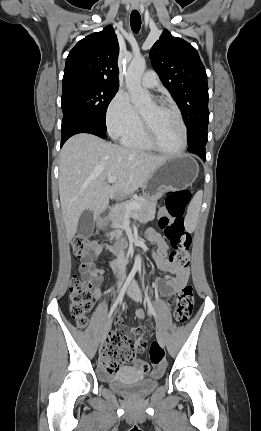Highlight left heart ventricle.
<instances>
[{
  "label": "left heart ventricle",
  "mask_w": 261,
  "mask_h": 431,
  "mask_svg": "<svg viewBox=\"0 0 261 431\" xmlns=\"http://www.w3.org/2000/svg\"><path fill=\"white\" fill-rule=\"evenodd\" d=\"M141 116L151 126L159 145L168 151H176L182 144V130L174 111L149 103Z\"/></svg>",
  "instance_id": "1"
}]
</instances>
